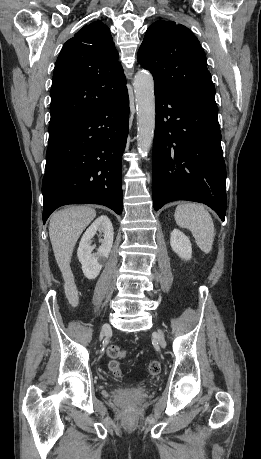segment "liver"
Masks as SVG:
<instances>
[{
    "label": "liver",
    "instance_id": "1",
    "mask_svg": "<svg viewBox=\"0 0 261 459\" xmlns=\"http://www.w3.org/2000/svg\"><path fill=\"white\" fill-rule=\"evenodd\" d=\"M95 217L96 211L91 207L71 206L55 212L50 218L49 237L66 283L72 279L70 261L75 244Z\"/></svg>",
    "mask_w": 261,
    "mask_h": 459
}]
</instances>
